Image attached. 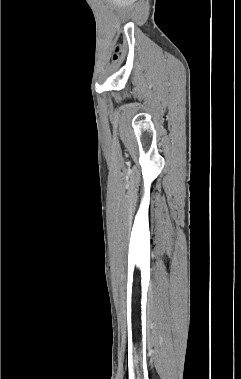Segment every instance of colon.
<instances>
[{
    "label": "colon",
    "instance_id": "colon-1",
    "mask_svg": "<svg viewBox=\"0 0 241 379\" xmlns=\"http://www.w3.org/2000/svg\"><path fill=\"white\" fill-rule=\"evenodd\" d=\"M114 56H115L114 59L117 60V59H118V55H117V53H116Z\"/></svg>",
    "mask_w": 241,
    "mask_h": 379
}]
</instances>
